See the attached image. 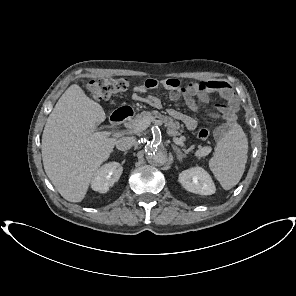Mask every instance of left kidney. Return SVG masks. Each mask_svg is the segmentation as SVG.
Returning a JSON list of instances; mask_svg holds the SVG:
<instances>
[{
	"label": "left kidney",
	"mask_w": 296,
	"mask_h": 296,
	"mask_svg": "<svg viewBox=\"0 0 296 296\" xmlns=\"http://www.w3.org/2000/svg\"><path fill=\"white\" fill-rule=\"evenodd\" d=\"M179 182L192 193L212 195L216 188L210 175L201 167H193L179 174Z\"/></svg>",
	"instance_id": "5707ae66"
}]
</instances>
